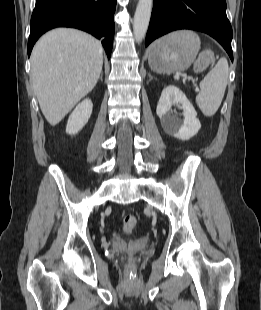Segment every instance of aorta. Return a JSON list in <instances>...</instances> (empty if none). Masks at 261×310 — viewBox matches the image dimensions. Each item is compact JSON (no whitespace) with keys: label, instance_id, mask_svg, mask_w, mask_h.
<instances>
[{"label":"aorta","instance_id":"obj_1","mask_svg":"<svg viewBox=\"0 0 261 310\" xmlns=\"http://www.w3.org/2000/svg\"><path fill=\"white\" fill-rule=\"evenodd\" d=\"M153 0H139L133 22V33L137 43L144 39L152 11Z\"/></svg>","mask_w":261,"mask_h":310}]
</instances>
